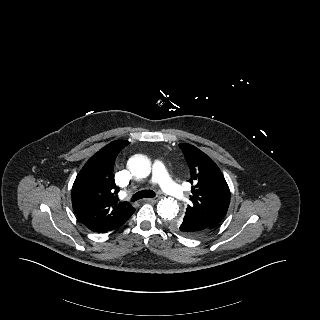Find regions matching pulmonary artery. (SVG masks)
<instances>
[{
  "label": "pulmonary artery",
  "mask_w": 320,
  "mask_h": 320,
  "mask_svg": "<svg viewBox=\"0 0 320 320\" xmlns=\"http://www.w3.org/2000/svg\"><path fill=\"white\" fill-rule=\"evenodd\" d=\"M152 181L158 183L167 194L180 200L185 199L182 189L172 181L161 161H156L153 164Z\"/></svg>",
  "instance_id": "1"
}]
</instances>
